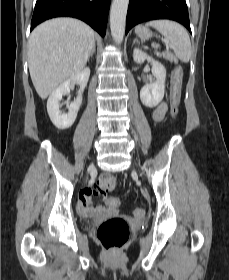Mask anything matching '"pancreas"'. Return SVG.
I'll list each match as a JSON object with an SVG mask.
<instances>
[{
    "mask_svg": "<svg viewBox=\"0 0 229 280\" xmlns=\"http://www.w3.org/2000/svg\"><path fill=\"white\" fill-rule=\"evenodd\" d=\"M157 56H162L164 57L165 59L169 60L170 62H174V63H177V59L174 57V55L169 52V51H166V52H163V53H156Z\"/></svg>",
    "mask_w": 229,
    "mask_h": 280,
    "instance_id": "pancreas-1",
    "label": "pancreas"
}]
</instances>
